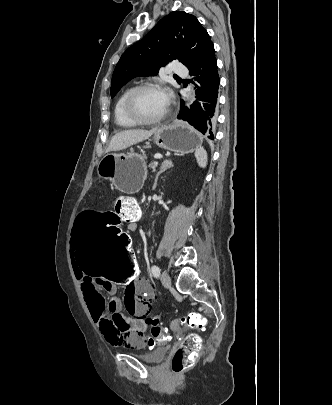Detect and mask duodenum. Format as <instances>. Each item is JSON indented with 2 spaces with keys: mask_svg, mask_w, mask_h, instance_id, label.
<instances>
[{
  "mask_svg": "<svg viewBox=\"0 0 332 405\" xmlns=\"http://www.w3.org/2000/svg\"><path fill=\"white\" fill-rule=\"evenodd\" d=\"M141 219V213L140 212H134L131 216H130V220L132 222H138Z\"/></svg>",
  "mask_w": 332,
  "mask_h": 405,
  "instance_id": "obj_1",
  "label": "duodenum"
}]
</instances>
